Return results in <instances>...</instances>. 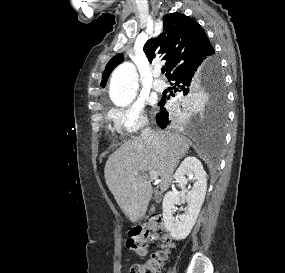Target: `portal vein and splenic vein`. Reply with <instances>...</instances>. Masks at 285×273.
<instances>
[{"instance_id": "obj_1", "label": "portal vein and splenic vein", "mask_w": 285, "mask_h": 273, "mask_svg": "<svg viewBox=\"0 0 285 273\" xmlns=\"http://www.w3.org/2000/svg\"><path fill=\"white\" fill-rule=\"evenodd\" d=\"M142 175H144L143 173H141ZM149 177H150V179L151 180H157L158 179V174H157V172H155V171H149ZM129 181H133V178L132 177H130L129 178Z\"/></svg>"}]
</instances>
